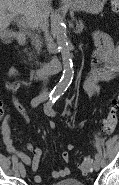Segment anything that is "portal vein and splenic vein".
Listing matches in <instances>:
<instances>
[{
    "mask_svg": "<svg viewBox=\"0 0 119 185\" xmlns=\"http://www.w3.org/2000/svg\"><path fill=\"white\" fill-rule=\"evenodd\" d=\"M19 25L21 27H30V25L23 19L22 21H19Z\"/></svg>",
    "mask_w": 119,
    "mask_h": 185,
    "instance_id": "portal-vein-and-splenic-vein-1",
    "label": "portal vein and splenic vein"
}]
</instances>
